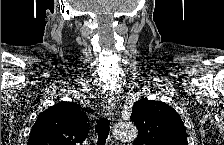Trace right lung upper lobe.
<instances>
[{
  "label": "right lung upper lobe",
  "instance_id": "right-lung-upper-lobe-1",
  "mask_svg": "<svg viewBox=\"0 0 224 145\" xmlns=\"http://www.w3.org/2000/svg\"><path fill=\"white\" fill-rule=\"evenodd\" d=\"M87 122L85 108L74 102H59L39 114L28 145H76L89 133Z\"/></svg>",
  "mask_w": 224,
  "mask_h": 145
}]
</instances>
